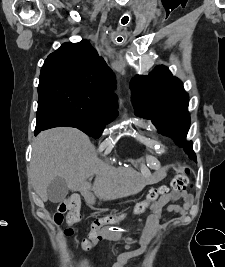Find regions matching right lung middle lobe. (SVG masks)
Instances as JSON below:
<instances>
[{"label":"right lung middle lobe","instance_id":"1","mask_svg":"<svg viewBox=\"0 0 225 267\" xmlns=\"http://www.w3.org/2000/svg\"><path fill=\"white\" fill-rule=\"evenodd\" d=\"M38 102H47L75 127L97 139L118 112L111 102L98 97L90 88L63 79L39 81Z\"/></svg>","mask_w":225,"mask_h":267}]
</instances>
